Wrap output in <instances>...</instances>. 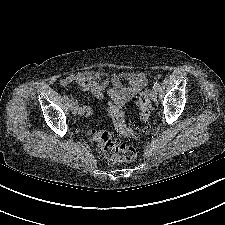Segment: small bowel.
Returning a JSON list of instances; mask_svg holds the SVG:
<instances>
[{
	"mask_svg": "<svg viewBox=\"0 0 225 225\" xmlns=\"http://www.w3.org/2000/svg\"><path fill=\"white\" fill-rule=\"evenodd\" d=\"M123 82L127 84L124 85ZM146 83V76L141 72L127 71L117 74L100 70L73 73L60 80L62 87L76 84L99 99L107 91L109 112L112 108L124 107L146 86ZM91 112L89 106H83L80 116H89Z\"/></svg>",
	"mask_w": 225,
	"mask_h": 225,
	"instance_id": "obj_1",
	"label": "small bowel"
}]
</instances>
